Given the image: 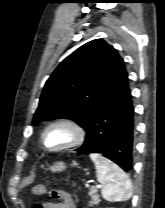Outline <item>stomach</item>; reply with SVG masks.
<instances>
[{"mask_svg": "<svg viewBox=\"0 0 165 208\" xmlns=\"http://www.w3.org/2000/svg\"><path fill=\"white\" fill-rule=\"evenodd\" d=\"M66 165L63 162H56L52 167H51V171L53 172H57V171H63L65 170Z\"/></svg>", "mask_w": 165, "mask_h": 208, "instance_id": "0dacf381", "label": "stomach"}]
</instances>
